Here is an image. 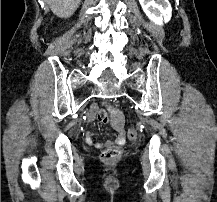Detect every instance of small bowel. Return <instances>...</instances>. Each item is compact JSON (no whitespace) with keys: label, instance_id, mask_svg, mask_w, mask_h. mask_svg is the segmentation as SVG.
<instances>
[{"label":"small bowel","instance_id":"1","mask_svg":"<svg viewBox=\"0 0 217 202\" xmlns=\"http://www.w3.org/2000/svg\"><path fill=\"white\" fill-rule=\"evenodd\" d=\"M105 108L106 109H117L118 108V105L117 104H106L105 105ZM97 105H92L90 110H89V113H88V118L89 119H92L96 116L97 114ZM100 114L98 115V118H99ZM108 118H114L113 119V127H114V130L116 132V140H115V143L116 144H123L125 142V130H124V127H123V123H122V118L117 115V113H108ZM104 122V121H102ZM85 140L87 142V144L95 147L96 149H100L102 148L104 145L106 146H111L113 144L112 141H107L106 143H102V142H95L93 140V134L90 133V132H87L85 133Z\"/></svg>","mask_w":217,"mask_h":202}]
</instances>
